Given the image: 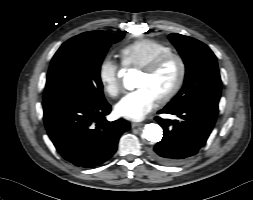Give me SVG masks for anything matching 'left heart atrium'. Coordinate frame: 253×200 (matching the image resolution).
Listing matches in <instances>:
<instances>
[{"mask_svg":"<svg viewBox=\"0 0 253 200\" xmlns=\"http://www.w3.org/2000/svg\"><path fill=\"white\" fill-rule=\"evenodd\" d=\"M157 104V98L147 88H139L124 96L115 106L116 113L130 120H142Z\"/></svg>","mask_w":253,"mask_h":200,"instance_id":"obj_1","label":"left heart atrium"}]
</instances>
